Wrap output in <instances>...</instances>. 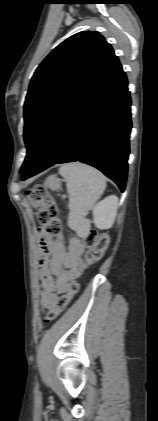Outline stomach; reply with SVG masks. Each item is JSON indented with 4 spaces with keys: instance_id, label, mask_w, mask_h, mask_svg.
I'll list each match as a JSON object with an SVG mask.
<instances>
[{
    "instance_id": "stomach-1",
    "label": "stomach",
    "mask_w": 158,
    "mask_h": 421,
    "mask_svg": "<svg viewBox=\"0 0 158 421\" xmlns=\"http://www.w3.org/2000/svg\"><path fill=\"white\" fill-rule=\"evenodd\" d=\"M44 186L55 191L61 188V180L56 175H51L46 178Z\"/></svg>"
}]
</instances>
